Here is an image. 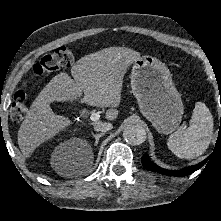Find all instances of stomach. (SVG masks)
Returning <instances> with one entry per match:
<instances>
[{
  "mask_svg": "<svg viewBox=\"0 0 221 221\" xmlns=\"http://www.w3.org/2000/svg\"><path fill=\"white\" fill-rule=\"evenodd\" d=\"M130 78L142 115L161 134L177 129L184 106L166 65L155 57L143 56L134 61Z\"/></svg>",
  "mask_w": 221,
  "mask_h": 221,
  "instance_id": "stomach-1",
  "label": "stomach"
}]
</instances>
